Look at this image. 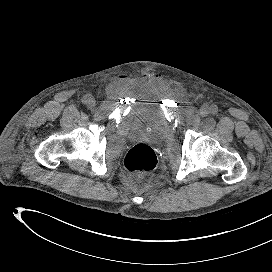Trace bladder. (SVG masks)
Returning <instances> with one entry per match:
<instances>
[{
    "label": "bladder",
    "instance_id": "1",
    "mask_svg": "<svg viewBox=\"0 0 272 272\" xmlns=\"http://www.w3.org/2000/svg\"><path fill=\"white\" fill-rule=\"evenodd\" d=\"M130 136L145 137L154 142L163 141L169 132V123L163 108L154 102L138 103L127 117Z\"/></svg>",
    "mask_w": 272,
    "mask_h": 272
}]
</instances>
